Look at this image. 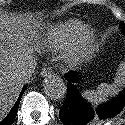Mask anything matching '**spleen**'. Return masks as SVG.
<instances>
[{"label":"spleen","mask_w":125,"mask_h":125,"mask_svg":"<svg viewBox=\"0 0 125 125\" xmlns=\"http://www.w3.org/2000/svg\"><path fill=\"white\" fill-rule=\"evenodd\" d=\"M125 86V62L119 65L114 78V83L107 84L101 83L96 90H86L82 96L94 105L107 100L109 96H115L121 91V88Z\"/></svg>","instance_id":"1"}]
</instances>
